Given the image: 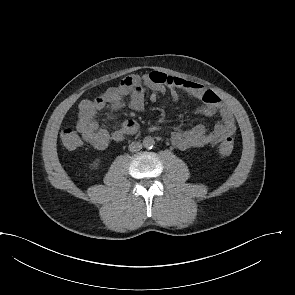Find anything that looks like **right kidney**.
<instances>
[{
  "label": "right kidney",
  "instance_id": "right-kidney-1",
  "mask_svg": "<svg viewBox=\"0 0 295 295\" xmlns=\"http://www.w3.org/2000/svg\"><path fill=\"white\" fill-rule=\"evenodd\" d=\"M92 165H93V168L98 167V165H99V160H96Z\"/></svg>",
  "mask_w": 295,
  "mask_h": 295
}]
</instances>
